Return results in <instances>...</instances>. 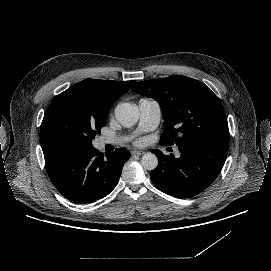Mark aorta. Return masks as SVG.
Returning <instances> with one entry per match:
<instances>
[{
  "label": "aorta",
  "instance_id": "obj_1",
  "mask_svg": "<svg viewBox=\"0 0 271 271\" xmlns=\"http://www.w3.org/2000/svg\"><path fill=\"white\" fill-rule=\"evenodd\" d=\"M115 117L123 127H132L139 119L138 106L130 103L118 104L115 108ZM141 165L145 170H154L158 165V158L155 154L147 152L141 157Z\"/></svg>",
  "mask_w": 271,
  "mask_h": 271
}]
</instances>
